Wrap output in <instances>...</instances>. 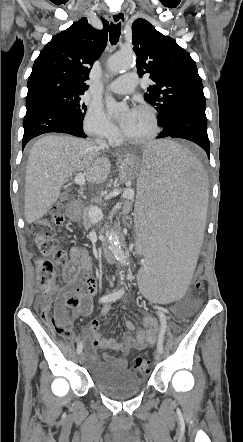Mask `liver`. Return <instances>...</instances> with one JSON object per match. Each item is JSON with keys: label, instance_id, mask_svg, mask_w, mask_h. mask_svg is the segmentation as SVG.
Wrapping results in <instances>:
<instances>
[{"label": "liver", "instance_id": "liver-1", "mask_svg": "<svg viewBox=\"0 0 243 442\" xmlns=\"http://www.w3.org/2000/svg\"><path fill=\"white\" fill-rule=\"evenodd\" d=\"M108 156L92 141L68 135H46L33 145L26 166L25 219L31 224L56 203L64 181L84 171L88 182H104L110 173Z\"/></svg>", "mask_w": 243, "mask_h": 442}]
</instances>
